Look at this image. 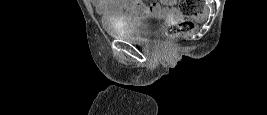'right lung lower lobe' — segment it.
<instances>
[{
  "mask_svg": "<svg viewBox=\"0 0 267 115\" xmlns=\"http://www.w3.org/2000/svg\"><path fill=\"white\" fill-rule=\"evenodd\" d=\"M142 90H144V91H154L155 89L154 88H143Z\"/></svg>",
  "mask_w": 267,
  "mask_h": 115,
  "instance_id": "right-lung-lower-lobe-1",
  "label": "right lung lower lobe"
}]
</instances>
